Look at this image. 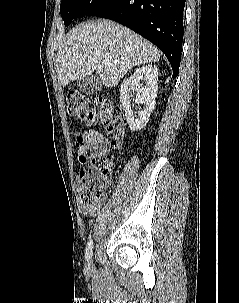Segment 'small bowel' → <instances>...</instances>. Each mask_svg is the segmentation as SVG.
Masks as SVG:
<instances>
[{"mask_svg":"<svg viewBox=\"0 0 239 303\" xmlns=\"http://www.w3.org/2000/svg\"><path fill=\"white\" fill-rule=\"evenodd\" d=\"M74 143L77 148L78 161L81 165L93 159L108 155V141L106 137L95 130H82L75 134ZM78 209L83 216L94 217L98 213L97 206H86L81 201Z\"/></svg>","mask_w":239,"mask_h":303,"instance_id":"obj_1","label":"small bowel"}]
</instances>
